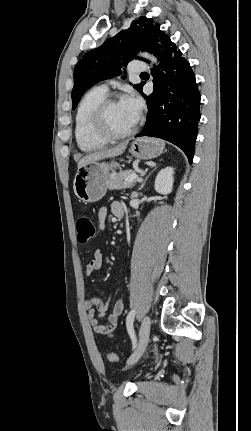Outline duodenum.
Segmentation results:
<instances>
[{
	"mask_svg": "<svg viewBox=\"0 0 251 431\" xmlns=\"http://www.w3.org/2000/svg\"><path fill=\"white\" fill-rule=\"evenodd\" d=\"M122 217H123V214H120V215H119V218H122Z\"/></svg>",
	"mask_w": 251,
	"mask_h": 431,
	"instance_id": "duodenum-1",
	"label": "duodenum"
}]
</instances>
